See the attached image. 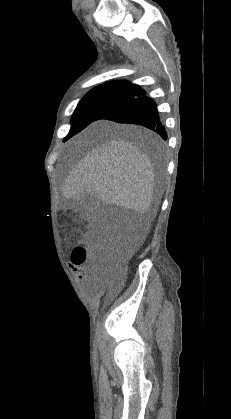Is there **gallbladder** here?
<instances>
[{"label": "gallbladder", "mask_w": 231, "mask_h": 419, "mask_svg": "<svg viewBox=\"0 0 231 419\" xmlns=\"http://www.w3.org/2000/svg\"><path fill=\"white\" fill-rule=\"evenodd\" d=\"M98 198L93 194H85L82 204L85 208L93 209L97 204Z\"/></svg>", "instance_id": "1"}]
</instances>
